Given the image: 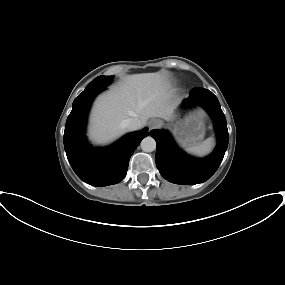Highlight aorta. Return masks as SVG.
Segmentation results:
<instances>
[{
  "label": "aorta",
  "mask_w": 285,
  "mask_h": 285,
  "mask_svg": "<svg viewBox=\"0 0 285 285\" xmlns=\"http://www.w3.org/2000/svg\"><path fill=\"white\" fill-rule=\"evenodd\" d=\"M141 149L144 152H152L156 149V141L151 136L145 137L141 141Z\"/></svg>",
  "instance_id": "762f6f07"
}]
</instances>
